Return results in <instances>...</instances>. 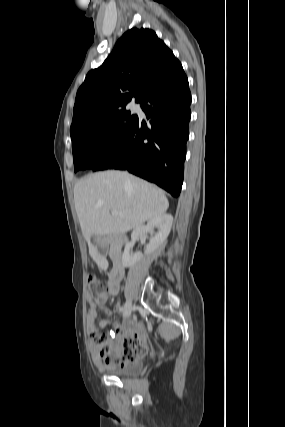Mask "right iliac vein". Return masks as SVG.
<instances>
[{
  "label": "right iliac vein",
  "mask_w": 285,
  "mask_h": 427,
  "mask_svg": "<svg viewBox=\"0 0 285 427\" xmlns=\"http://www.w3.org/2000/svg\"><path fill=\"white\" fill-rule=\"evenodd\" d=\"M132 309H133L132 302L128 300L124 305L123 316L125 318L130 317L132 313Z\"/></svg>",
  "instance_id": "right-iliac-vein-1"
}]
</instances>
